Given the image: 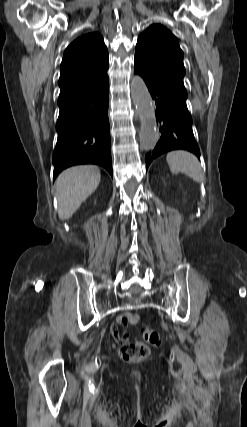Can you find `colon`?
<instances>
[{
    "mask_svg": "<svg viewBox=\"0 0 247 427\" xmlns=\"http://www.w3.org/2000/svg\"><path fill=\"white\" fill-rule=\"evenodd\" d=\"M145 341L151 345H158L161 341L160 333L152 328L143 330ZM149 354V347L142 342L124 344L120 349V356L123 360L143 359Z\"/></svg>",
    "mask_w": 247,
    "mask_h": 427,
    "instance_id": "obj_1",
    "label": "colon"
}]
</instances>
